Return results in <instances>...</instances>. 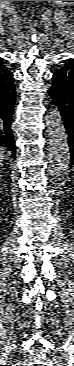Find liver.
Instances as JSON below:
<instances>
[{"instance_id":"6515ba94","label":"liver","mask_w":74,"mask_h":366,"mask_svg":"<svg viewBox=\"0 0 74 366\" xmlns=\"http://www.w3.org/2000/svg\"><path fill=\"white\" fill-rule=\"evenodd\" d=\"M5 157H6V151L4 148L1 147L0 148V158H1V160H4Z\"/></svg>"}]
</instances>
